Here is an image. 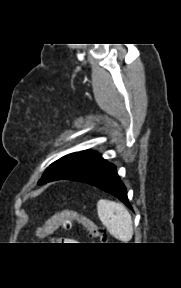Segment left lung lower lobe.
<instances>
[{
    "mask_svg": "<svg viewBox=\"0 0 181 288\" xmlns=\"http://www.w3.org/2000/svg\"><path fill=\"white\" fill-rule=\"evenodd\" d=\"M80 182L96 186L117 197L127 207L131 205L127 198L126 187L117 174L116 166L106 162L92 174L79 180Z\"/></svg>",
    "mask_w": 181,
    "mask_h": 288,
    "instance_id": "0a47b994",
    "label": "left lung lower lobe"
}]
</instances>
